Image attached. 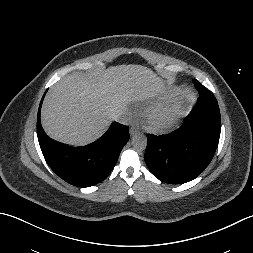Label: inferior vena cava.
Wrapping results in <instances>:
<instances>
[{
	"mask_svg": "<svg viewBox=\"0 0 253 253\" xmlns=\"http://www.w3.org/2000/svg\"><path fill=\"white\" fill-rule=\"evenodd\" d=\"M113 119L122 124H127L130 122V118L127 116V114L124 111H119V112L114 113Z\"/></svg>",
	"mask_w": 253,
	"mask_h": 253,
	"instance_id": "inferior-vena-cava-1",
	"label": "inferior vena cava"
}]
</instances>
